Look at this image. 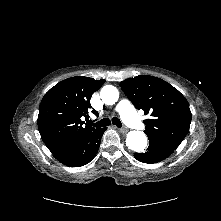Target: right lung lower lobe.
<instances>
[{
	"mask_svg": "<svg viewBox=\"0 0 221 221\" xmlns=\"http://www.w3.org/2000/svg\"><path fill=\"white\" fill-rule=\"evenodd\" d=\"M106 128L90 131L75 142L54 153L55 158L70 167H80L88 164L97 154L103 132Z\"/></svg>",
	"mask_w": 221,
	"mask_h": 221,
	"instance_id": "1",
	"label": "right lung lower lobe"
}]
</instances>
